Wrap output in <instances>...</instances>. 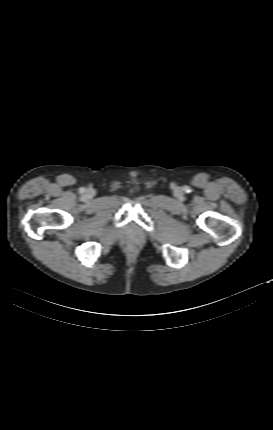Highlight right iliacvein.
Wrapping results in <instances>:
<instances>
[{"label":"right iliac vein","mask_w":273,"mask_h":430,"mask_svg":"<svg viewBox=\"0 0 273 430\" xmlns=\"http://www.w3.org/2000/svg\"><path fill=\"white\" fill-rule=\"evenodd\" d=\"M93 195H94V190H92V189H88V190L85 192V196H86L87 198H91V197H93Z\"/></svg>","instance_id":"right-iliac-vein-1"}]
</instances>
